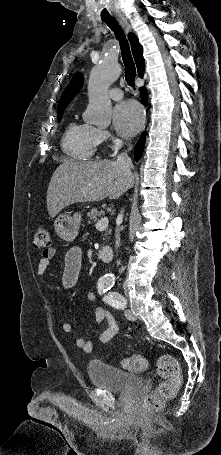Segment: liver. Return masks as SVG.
<instances>
[{"label": "liver", "instance_id": "1", "mask_svg": "<svg viewBox=\"0 0 221 455\" xmlns=\"http://www.w3.org/2000/svg\"><path fill=\"white\" fill-rule=\"evenodd\" d=\"M132 184L133 175L115 161H64L49 183L47 210L54 218L74 203L117 199Z\"/></svg>", "mask_w": 221, "mask_h": 455}]
</instances>
